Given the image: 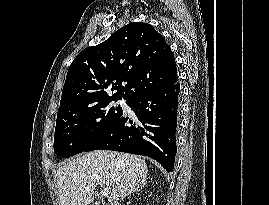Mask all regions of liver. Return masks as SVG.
<instances>
[{"label": "liver", "mask_w": 269, "mask_h": 205, "mask_svg": "<svg viewBox=\"0 0 269 205\" xmlns=\"http://www.w3.org/2000/svg\"><path fill=\"white\" fill-rule=\"evenodd\" d=\"M147 174L145 160L139 156L105 150L86 153L58 168L60 205H90L97 186L109 190L113 203L139 191Z\"/></svg>", "instance_id": "6515ba94"}]
</instances>
